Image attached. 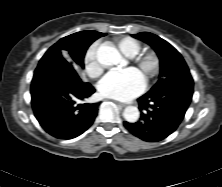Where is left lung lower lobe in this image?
Wrapping results in <instances>:
<instances>
[{
    "label": "left lung lower lobe",
    "mask_w": 222,
    "mask_h": 187,
    "mask_svg": "<svg viewBox=\"0 0 222 187\" xmlns=\"http://www.w3.org/2000/svg\"><path fill=\"white\" fill-rule=\"evenodd\" d=\"M182 91L175 99L164 93L141 96L138 99L141 113L140 121L124 122V126L135 136L148 142H157L173 133L189 107L193 95V80L184 81Z\"/></svg>",
    "instance_id": "left-lung-lower-lobe-1"
}]
</instances>
